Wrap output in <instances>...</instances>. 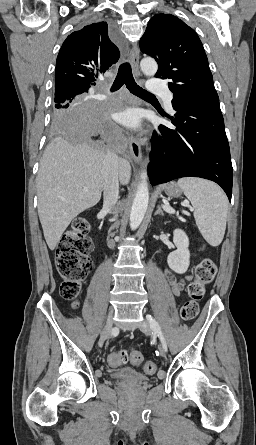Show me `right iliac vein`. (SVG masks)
Returning a JSON list of instances; mask_svg holds the SVG:
<instances>
[{
  "label": "right iliac vein",
  "mask_w": 256,
  "mask_h": 445,
  "mask_svg": "<svg viewBox=\"0 0 256 445\" xmlns=\"http://www.w3.org/2000/svg\"><path fill=\"white\" fill-rule=\"evenodd\" d=\"M112 327H113V310L111 309L109 311L108 316H107V320H106L105 326H104V328H103V330L101 332V335H100V339H99V346L100 347L103 346L105 340L108 338L109 334L112 331Z\"/></svg>",
  "instance_id": "right-iliac-vein-1"
}]
</instances>
